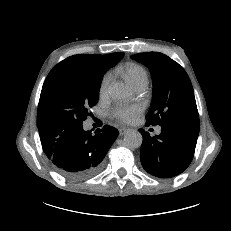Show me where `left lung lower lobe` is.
<instances>
[{
  "instance_id": "obj_1",
  "label": "left lung lower lobe",
  "mask_w": 231,
  "mask_h": 231,
  "mask_svg": "<svg viewBox=\"0 0 231 231\" xmlns=\"http://www.w3.org/2000/svg\"><path fill=\"white\" fill-rule=\"evenodd\" d=\"M148 126V124L146 123ZM143 142L141 164L146 172L159 178H171L182 173L191 163L199 127L192 125H163L161 134L151 137L140 129Z\"/></svg>"
}]
</instances>
